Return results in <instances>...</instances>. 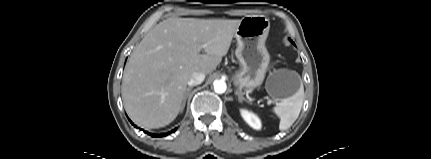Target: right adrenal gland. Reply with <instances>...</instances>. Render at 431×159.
Returning <instances> with one entry per match:
<instances>
[{
  "label": "right adrenal gland",
  "mask_w": 431,
  "mask_h": 159,
  "mask_svg": "<svg viewBox=\"0 0 431 159\" xmlns=\"http://www.w3.org/2000/svg\"><path fill=\"white\" fill-rule=\"evenodd\" d=\"M192 88H193V87H188V88H187V90H186V92H185V94H184L183 103H182V107H181L180 112H183V109H184L185 104H186V99H187V97H188V95H189L190 91L192 90Z\"/></svg>",
  "instance_id": "1"
}]
</instances>
